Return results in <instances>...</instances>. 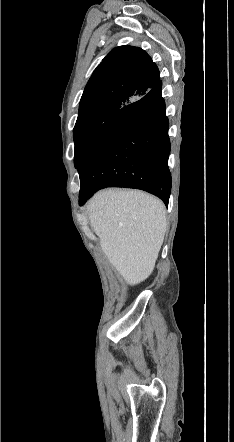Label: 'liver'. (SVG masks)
Masks as SVG:
<instances>
[{
  "mask_svg": "<svg viewBox=\"0 0 234 442\" xmlns=\"http://www.w3.org/2000/svg\"><path fill=\"white\" fill-rule=\"evenodd\" d=\"M86 209L111 265L129 285L147 279L167 229L164 204L142 191L105 189L95 194Z\"/></svg>",
  "mask_w": 234,
  "mask_h": 442,
  "instance_id": "obj_1",
  "label": "liver"
}]
</instances>
